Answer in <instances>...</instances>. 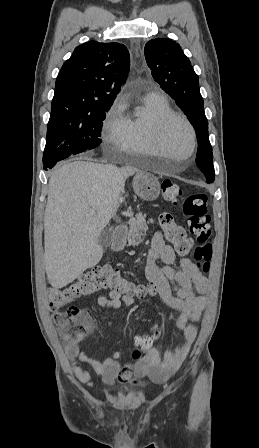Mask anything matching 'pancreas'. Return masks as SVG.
Masks as SVG:
<instances>
[{
  "mask_svg": "<svg viewBox=\"0 0 259 448\" xmlns=\"http://www.w3.org/2000/svg\"><path fill=\"white\" fill-rule=\"evenodd\" d=\"M145 218V214L143 216V214H141L140 212V214H136L134 220H132L129 232L132 244H139V242L143 240V236H146V232L148 230L147 224H153L154 222L152 218H150V220L146 222Z\"/></svg>",
  "mask_w": 259,
  "mask_h": 448,
  "instance_id": "obj_1",
  "label": "pancreas"
}]
</instances>
